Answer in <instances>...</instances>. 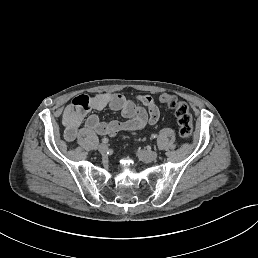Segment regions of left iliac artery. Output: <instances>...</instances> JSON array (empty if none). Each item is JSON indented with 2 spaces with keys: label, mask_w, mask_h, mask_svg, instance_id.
<instances>
[{
  "label": "left iliac artery",
  "mask_w": 258,
  "mask_h": 258,
  "mask_svg": "<svg viewBox=\"0 0 258 258\" xmlns=\"http://www.w3.org/2000/svg\"><path fill=\"white\" fill-rule=\"evenodd\" d=\"M156 137H157L156 134H152V135H151V138H152V139H155Z\"/></svg>",
  "instance_id": "left-iliac-artery-1"
}]
</instances>
